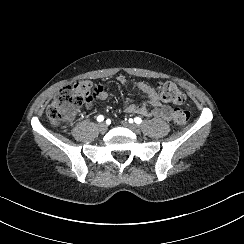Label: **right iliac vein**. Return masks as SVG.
<instances>
[{"label":"right iliac vein","mask_w":244,"mask_h":244,"mask_svg":"<svg viewBox=\"0 0 244 244\" xmlns=\"http://www.w3.org/2000/svg\"><path fill=\"white\" fill-rule=\"evenodd\" d=\"M108 129V126L106 123L102 122L98 124V130L102 133L106 132Z\"/></svg>","instance_id":"right-iliac-vein-1"}]
</instances>
